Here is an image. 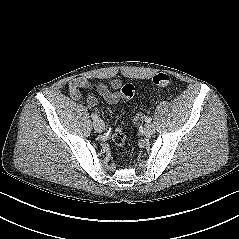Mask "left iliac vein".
I'll list each match as a JSON object with an SVG mask.
<instances>
[{
  "label": "left iliac vein",
  "mask_w": 239,
  "mask_h": 239,
  "mask_svg": "<svg viewBox=\"0 0 239 239\" xmlns=\"http://www.w3.org/2000/svg\"><path fill=\"white\" fill-rule=\"evenodd\" d=\"M154 131H155V128H154V126H153L152 124L147 123V124L144 126V133H145L146 136H151V135H153Z\"/></svg>",
  "instance_id": "1"
}]
</instances>
